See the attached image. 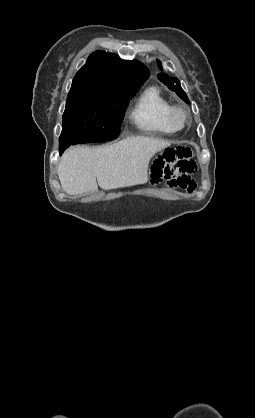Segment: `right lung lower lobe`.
<instances>
[{
  "mask_svg": "<svg viewBox=\"0 0 255 418\" xmlns=\"http://www.w3.org/2000/svg\"><path fill=\"white\" fill-rule=\"evenodd\" d=\"M67 147H68L67 145H59V152H60V154H62V153H63V151H64Z\"/></svg>",
  "mask_w": 255,
  "mask_h": 418,
  "instance_id": "right-lung-lower-lobe-1",
  "label": "right lung lower lobe"
}]
</instances>
